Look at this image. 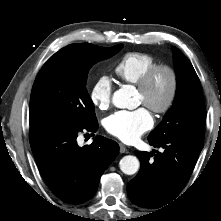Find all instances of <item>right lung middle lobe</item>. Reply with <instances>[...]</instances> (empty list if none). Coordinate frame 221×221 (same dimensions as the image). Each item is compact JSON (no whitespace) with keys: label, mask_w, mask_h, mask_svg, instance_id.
I'll return each instance as SVG.
<instances>
[{"label":"right lung middle lobe","mask_w":221,"mask_h":221,"mask_svg":"<svg viewBox=\"0 0 221 221\" xmlns=\"http://www.w3.org/2000/svg\"><path fill=\"white\" fill-rule=\"evenodd\" d=\"M122 47L78 43L54 54L38 73L32 88L30 127L42 123L87 127L95 123L94 104L86 90L89 69L115 55Z\"/></svg>","instance_id":"obj_1"}]
</instances>
